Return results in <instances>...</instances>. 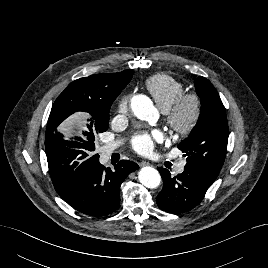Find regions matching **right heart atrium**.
Segmentation results:
<instances>
[{"instance_id":"d8ad5b80","label":"right heart atrium","mask_w":268,"mask_h":268,"mask_svg":"<svg viewBox=\"0 0 268 268\" xmlns=\"http://www.w3.org/2000/svg\"><path fill=\"white\" fill-rule=\"evenodd\" d=\"M129 108V96L123 95L117 103V112L122 115H127Z\"/></svg>"}]
</instances>
